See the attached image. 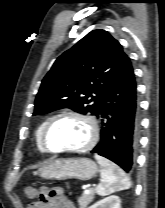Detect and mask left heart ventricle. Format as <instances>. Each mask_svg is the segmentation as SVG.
<instances>
[{
    "label": "left heart ventricle",
    "mask_w": 165,
    "mask_h": 208,
    "mask_svg": "<svg viewBox=\"0 0 165 208\" xmlns=\"http://www.w3.org/2000/svg\"><path fill=\"white\" fill-rule=\"evenodd\" d=\"M89 137V127L83 120L64 118L50 129L47 143L53 149H70L83 146Z\"/></svg>",
    "instance_id": "b2bd125f"
}]
</instances>
